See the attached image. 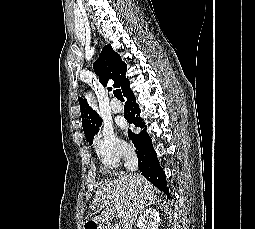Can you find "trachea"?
I'll return each instance as SVG.
<instances>
[{
  "mask_svg": "<svg viewBox=\"0 0 255 229\" xmlns=\"http://www.w3.org/2000/svg\"><path fill=\"white\" fill-rule=\"evenodd\" d=\"M113 94H114V96H115L117 99H119V100H121V101H124V98H123L121 89H116V90H114Z\"/></svg>",
  "mask_w": 255,
  "mask_h": 229,
  "instance_id": "1",
  "label": "trachea"
}]
</instances>
